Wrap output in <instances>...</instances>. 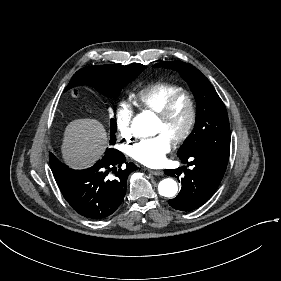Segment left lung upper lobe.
Returning a JSON list of instances; mask_svg holds the SVG:
<instances>
[{
    "mask_svg": "<svg viewBox=\"0 0 281 281\" xmlns=\"http://www.w3.org/2000/svg\"><path fill=\"white\" fill-rule=\"evenodd\" d=\"M155 67L179 71L189 84L197 102L196 123L192 133L177 152L179 157L197 152L228 162L230 126L226 107L209 80L194 66L182 61L161 62Z\"/></svg>",
    "mask_w": 281,
    "mask_h": 281,
    "instance_id": "obj_1",
    "label": "left lung upper lobe"
}]
</instances>
